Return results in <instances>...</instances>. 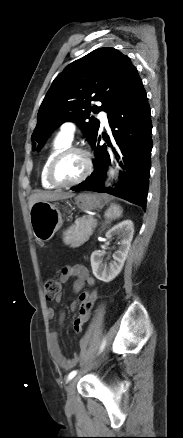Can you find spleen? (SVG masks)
Here are the masks:
<instances>
[{"label":"spleen","instance_id":"obj_1","mask_svg":"<svg viewBox=\"0 0 183 438\" xmlns=\"http://www.w3.org/2000/svg\"><path fill=\"white\" fill-rule=\"evenodd\" d=\"M122 214V208L118 204H112L105 212V218L108 220L119 218Z\"/></svg>","mask_w":183,"mask_h":438}]
</instances>
